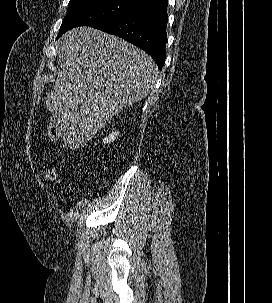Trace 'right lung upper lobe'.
<instances>
[{"label":"right lung upper lobe","mask_w":272,"mask_h":303,"mask_svg":"<svg viewBox=\"0 0 272 303\" xmlns=\"http://www.w3.org/2000/svg\"><path fill=\"white\" fill-rule=\"evenodd\" d=\"M137 4L139 8L156 3L159 0H128Z\"/></svg>","instance_id":"1"}]
</instances>
